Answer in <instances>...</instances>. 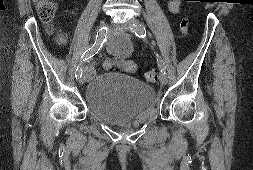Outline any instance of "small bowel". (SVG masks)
<instances>
[{
	"label": "small bowel",
	"mask_w": 253,
	"mask_h": 170,
	"mask_svg": "<svg viewBox=\"0 0 253 170\" xmlns=\"http://www.w3.org/2000/svg\"><path fill=\"white\" fill-rule=\"evenodd\" d=\"M181 2H182V0H169L167 3L169 11L173 14L179 13ZM119 45H120V47L127 49V50L130 47L129 43L126 40L122 41ZM112 66H117L126 72L135 71L137 68L136 63L132 60L127 59L125 56L118 57L115 61H113V62L108 61L104 64V67H106V68H109ZM93 68L94 67H92V70H93Z\"/></svg>",
	"instance_id": "small-bowel-1"
}]
</instances>
